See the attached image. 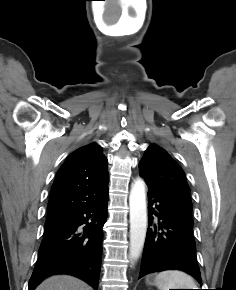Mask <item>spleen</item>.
Listing matches in <instances>:
<instances>
[{"label": "spleen", "instance_id": "1", "mask_svg": "<svg viewBox=\"0 0 236 290\" xmlns=\"http://www.w3.org/2000/svg\"><path fill=\"white\" fill-rule=\"evenodd\" d=\"M155 284L159 290L196 289L193 278L179 270L162 271L155 277Z\"/></svg>", "mask_w": 236, "mask_h": 290}]
</instances>
